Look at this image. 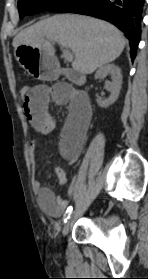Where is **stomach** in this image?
Listing matches in <instances>:
<instances>
[{"mask_svg": "<svg viewBox=\"0 0 148 279\" xmlns=\"http://www.w3.org/2000/svg\"><path fill=\"white\" fill-rule=\"evenodd\" d=\"M15 59L23 66L21 75L26 78H36L37 82H58V61L43 50L22 45L16 48Z\"/></svg>", "mask_w": 148, "mask_h": 279, "instance_id": "1", "label": "stomach"}]
</instances>
